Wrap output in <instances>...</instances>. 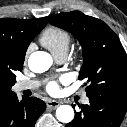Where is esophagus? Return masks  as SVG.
Masks as SVG:
<instances>
[{"label": "esophagus", "mask_w": 127, "mask_h": 127, "mask_svg": "<svg viewBox=\"0 0 127 127\" xmlns=\"http://www.w3.org/2000/svg\"><path fill=\"white\" fill-rule=\"evenodd\" d=\"M46 104H47V107L50 109H56L60 105V103L55 100H48Z\"/></svg>", "instance_id": "obj_1"}]
</instances>
